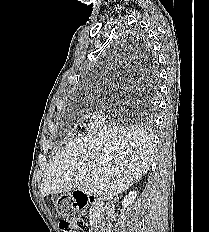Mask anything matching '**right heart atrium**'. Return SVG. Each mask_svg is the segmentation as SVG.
Masks as SVG:
<instances>
[{
    "instance_id": "obj_1",
    "label": "right heart atrium",
    "mask_w": 209,
    "mask_h": 232,
    "mask_svg": "<svg viewBox=\"0 0 209 232\" xmlns=\"http://www.w3.org/2000/svg\"><path fill=\"white\" fill-rule=\"evenodd\" d=\"M105 120V112L101 108L95 107L89 115V121L87 126L90 130H94L101 127L104 124Z\"/></svg>"
}]
</instances>
